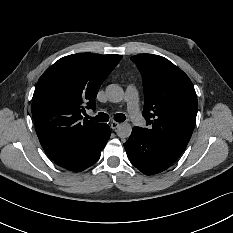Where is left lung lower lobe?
Returning a JSON list of instances; mask_svg holds the SVG:
<instances>
[{
  "instance_id": "1",
  "label": "left lung lower lobe",
  "mask_w": 233,
  "mask_h": 233,
  "mask_svg": "<svg viewBox=\"0 0 233 233\" xmlns=\"http://www.w3.org/2000/svg\"><path fill=\"white\" fill-rule=\"evenodd\" d=\"M124 146L130 162L147 175L166 170L184 151L149 139L137 127L133 128Z\"/></svg>"
}]
</instances>
